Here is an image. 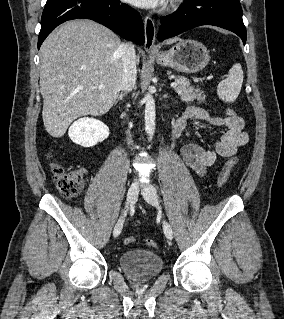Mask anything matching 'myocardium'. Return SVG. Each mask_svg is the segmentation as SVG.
<instances>
[{
	"label": "myocardium",
	"instance_id": "1",
	"mask_svg": "<svg viewBox=\"0 0 284 319\" xmlns=\"http://www.w3.org/2000/svg\"><path fill=\"white\" fill-rule=\"evenodd\" d=\"M182 0H171V5L175 6L177 4H179Z\"/></svg>",
	"mask_w": 284,
	"mask_h": 319
}]
</instances>
